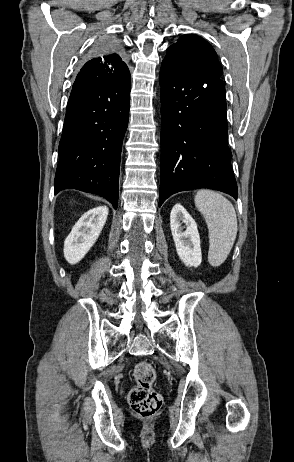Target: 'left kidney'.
<instances>
[{
    "mask_svg": "<svg viewBox=\"0 0 294 462\" xmlns=\"http://www.w3.org/2000/svg\"><path fill=\"white\" fill-rule=\"evenodd\" d=\"M181 223L185 224L186 230L183 231ZM170 228L181 261L186 266L198 267L202 262L199 232L196 222L181 204L172 208Z\"/></svg>",
    "mask_w": 294,
    "mask_h": 462,
    "instance_id": "obj_1",
    "label": "left kidney"
}]
</instances>
